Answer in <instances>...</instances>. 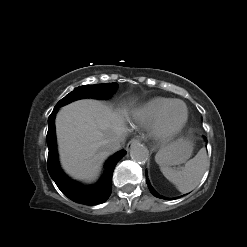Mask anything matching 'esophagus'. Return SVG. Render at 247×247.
<instances>
[{"instance_id": "34e87169", "label": "esophagus", "mask_w": 247, "mask_h": 247, "mask_svg": "<svg viewBox=\"0 0 247 247\" xmlns=\"http://www.w3.org/2000/svg\"><path fill=\"white\" fill-rule=\"evenodd\" d=\"M142 141L141 138L139 137H136V138H133L129 141V143L127 144V151H129L133 146L139 144L140 142Z\"/></svg>"}]
</instances>
